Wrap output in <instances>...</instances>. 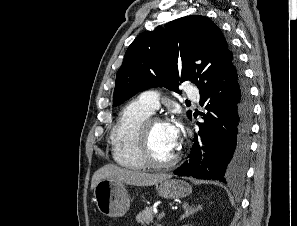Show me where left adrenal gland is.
Wrapping results in <instances>:
<instances>
[{
    "label": "left adrenal gland",
    "mask_w": 297,
    "mask_h": 226,
    "mask_svg": "<svg viewBox=\"0 0 297 226\" xmlns=\"http://www.w3.org/2000/svg\"><path fill=\"white\" fill-rule=\"evenodd\" d=\"M183 209H184V214L180 217V220H183L185 217L195 213L198 210L202 209V205H197L195 206L194 204L189 205L188 203H184L182 205Z\"/></svg>",
    "instance_id": "left-adrenal-gland-1"
}]
</instances>
